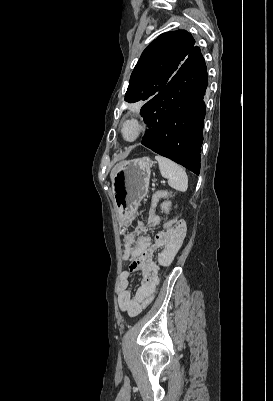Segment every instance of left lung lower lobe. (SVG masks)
<instances>
[{"mask_svg": "<svg viewBox=\"0 0 273 401\" xmlns=\"http://www.w3.org/2000/svg\"><path fill=\"white\" fill-rule=\"evenodd\" d=\"M207 78L200 48L194 46L167 85L141 108L152 127L142 144L195 174L200 172Z\"/></svg>", "mask_w": 273, "mask_h": 401, "instance_id": "left-lung-lower-lobe-1", "label": "left lung lower lobe"}]
</instances>
